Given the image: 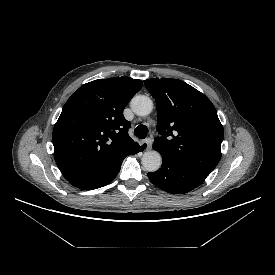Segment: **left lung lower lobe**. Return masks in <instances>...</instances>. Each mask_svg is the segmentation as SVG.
I'll return each instance as SVG.
<instances>
[{
    "label": "left lung lower lobe",
    "instance_id": "1",
    "mask_svg": "<svg viewBox=\"0 0 275 275\" xmlns=\"http://www.w3.org/2000/svg\"><path fill=\"white\" fill-rule=\"evenodd\" d=\"M162 166L156 172H149V180L160 189L183 194L198 187L206 176L184 166L183 164L162 155Z\"/></svg>",
    "mask_w": 275,
    "mask_h": 275
}]
</instances>
